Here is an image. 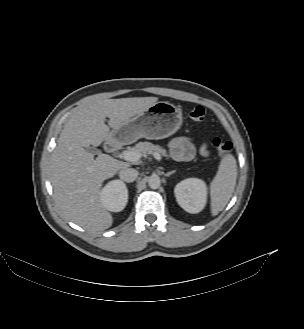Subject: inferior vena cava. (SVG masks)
Listing matches in <instances>:
<instances>
[{
	"instance_id": "inferior-vena-cava-1",
	"label": "inferior vena cava",
	"mask_w": 304,
	"mask_h": 329,
	"mask_svg": "<svg viewBox=\"0 0 304 329\" xmlns=\"http://www.w3.org/2000/svg\"><path fill=\"white\" fill-rule=\"evenodd\" d=\"M138 171L134 168H123L119 171V177L124 182H133L138 176Z\"/></svg>"
}]
</instances>
